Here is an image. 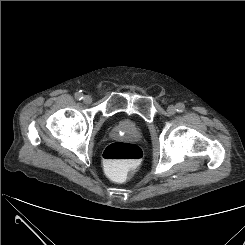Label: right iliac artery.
<instances>
[{
	"label": "right iliac artery",
	"instance_id": "1",
	"mask_svg": "<svg viewBox=\"0 0 245 245\" xmlns=\"http://www.w3.org/2000/svg\"><path fill=\"white\" fill-rule=\"evenodd\" d=\"M75 98L77 100H81L83 98V94H81L80 92H78V93L75 94Z\"/></svg>",
	"mask_w": 245,
	"mask_h": 245
}]
</instances>
